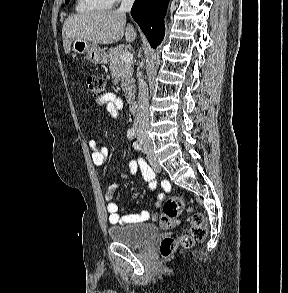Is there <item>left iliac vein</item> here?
Wrapping results in <instances>:
<instances>
[{
    "label": "left iliac vein",
    "mask_w": 288,
    "mask_h": 293,
    "mask_svg": "<svg viewBox=\"0 0 288 293\" xmlns=\"http://www.w3.org/2000/svg\"><path fill=\"white\" fill-rule=\"evenodd\" d=\"M144 151L147 153V154H149V152L147 151V149H146V146L144 145Z\"/></svg>",
    "instance_id": "obj_1"
}]
</instances>
